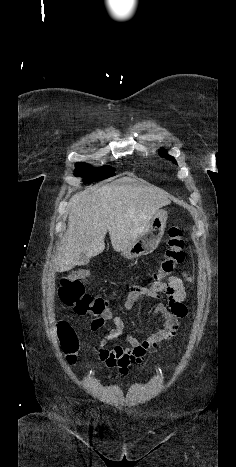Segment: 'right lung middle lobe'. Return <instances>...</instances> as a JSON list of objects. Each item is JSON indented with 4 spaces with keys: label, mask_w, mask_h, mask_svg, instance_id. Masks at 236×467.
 Masks as SVG:
<instances>
[{
    "label": "right lung middle lobe",
    "mask_w": 236,
    "mask_h": 467,
    "mask_svg": "<svg viewBox=\"0 0 236 467\" xmlns=\"http://www.w3.org/2000/svg\"><path fill=\"white\" fill-rule=\"evenodd\" d=\"M75 175L84 176V181L88 184L94 181H100L115 175L114 169L109 167L91 168L85 163L75 164Z\"/></svg>",
    "instance_id": "1"
}]
</instances>
